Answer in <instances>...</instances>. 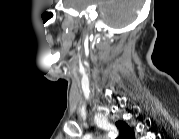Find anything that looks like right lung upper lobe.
Here are the masks:
<instances>
[{
	"label": "right lung upper lobe",
	"instance_id": "obj_1",
	"mask_svg": "<svg viewBox=\"0 0 179 139\" xmlns=\"http://www.w3.org/2000/svg\"><path fill=\"white\" fill-rule=\"evenodd\" d=\"M116 126L120 130L119 139H134V132L125 122L118 121Z\"/></svg>",
	"mask_w": 179,
	"mask_h": 139
}]
</instances>
